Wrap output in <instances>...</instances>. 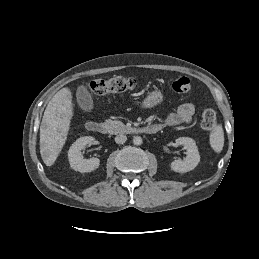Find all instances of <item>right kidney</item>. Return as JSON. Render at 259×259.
<instances>
[{
	"label": "right kidney",
	"mask_w": 259,
	"mask_h": 259,
	"mask_svg": "<svg viewBox=\"0 0 259 259\" xmlns=\"http://www.w3.org/2000/svg\"><path fill=\"white\" fill-rule=\"evenodd\" d=\"M94 138L91 136H84L77 139L68 151V160L70 167L75 171L81 173L91 172L96 170L100 165V160L98 158L85 159L81 153V150L92 144Z\"/></svg>",
	"instance_id": "right-kidney-1"
}]
</instances>
